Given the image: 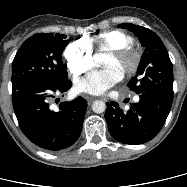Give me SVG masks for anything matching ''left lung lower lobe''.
<instances>
[{
    "label": "left lung lower lobe",
    "mask_w": 187,
    "mask_h": 187,
    "mask_svg": "<svg viewBox=\"0 0 187 187\" xmlns=\"http://www.w3.org/2000/svg\"><path fill=\"white\" fill-rule=\"evenodd\" d=\"M139 101L124 112L118 103H107L105 118L112 137L125 144L138 145L153 139L163 127L173 95L139 93Z\"/></svg>",
    "instance_id": "left-lung-lower-lobe-1"
}]
</instances>
